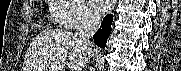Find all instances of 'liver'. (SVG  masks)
<instances>
[{"instance_id":"liver-1","label":"liver","mask_w":181,"mask_h":71,"mask_svg":"<svg viewBox=\"0 0 181 71\" xmlns=\"http://www.w3.org/2000/svg\"><path fill=\"white\" fill-rule=\"evenodd\" d=\"M87 51L71 32H41L28 48L23 71H81L89 60Z\"/></svg>"}]
</instances>
